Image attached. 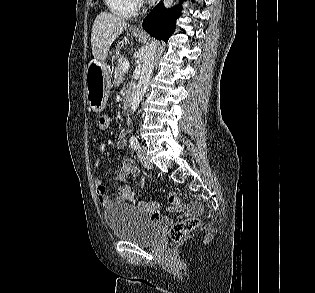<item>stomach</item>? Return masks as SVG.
Wrapping results in <instances>:
<instances>
[{"instance_id":"obj_1","label":"stomach","mask_w":315,"mask_h":293,"mask_svg":"<svg viewBox=\"0 0 315 293\" xmlns=\"http://www.w3.org/2000/svg\"><path fill=\"white\" fill-rule=\"evenodd\" d=\"M138 41L144 34L132 33ZM106 59L94 57L89 63L86 76V97L93 111L101 112L105 107L112 87L110 70L104 69Z\"/></svg>"}]
</instances>
